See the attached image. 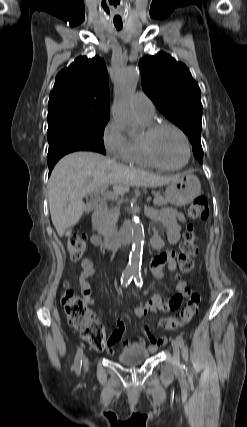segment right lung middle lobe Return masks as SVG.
Returning <instances> with one entry per match:
<instances>
[{"instance_id":"obj_1","label":"right lung middle lobe","mask_w":247,"mask_h":427,"mask_svg":"<svg viewBox=\"0 0 247 427\" xmlns=\"http://www.w3.org/2000/svg\"><path fill=\"white\" fill-rule=\"evenodd\" d=\"M108 110L62 109L48 114V142L75 140L90 145L105 154L104 128L109 119Z\"/></svg>"}]
</instances>
